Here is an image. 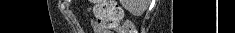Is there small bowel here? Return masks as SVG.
Listing matches in <instances>:
<instances>
[{"mask_svg": "<svg viewBox=\"0 0 235 33\" xmlns=\"http://www.w3.org/2000/svg\"><path fill=\"white\" fill-rule=\"evenodd\" d=\"M92 27L95 33H112L95 21L92 22Z\"/></svg>", "mask_w": 235, "mask_h": 33, "instance_id": "small-bowel-1", "label": "small bowel"}]
</instances>
